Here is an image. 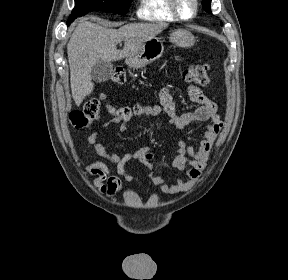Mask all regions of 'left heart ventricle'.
Returning a JSON list of instances; mask_svg holds the SVG:
<instances>
[{"instance_id": "obj_1", "label": "left heart ventricle", "mask_w": 288, "mask_h": 280, "mask_svg": "<svg viewBox=\"0 0 288 280\" xmlns=\"http://www.w3.org/2000/svg\"><path fill=\"white\" fill-rule=\"evenodd\" d=\"M179 10L183 16H190L193 12L192 0H179Z\"/></svg>"}]
</instances>
